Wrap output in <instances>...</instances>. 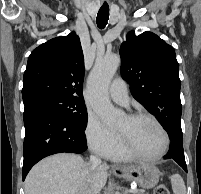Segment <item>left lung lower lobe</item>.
<instances>
[{
    "label": "left lung lower lobe",
    "instance_id": "0a47b994",
    "mask_svg": "<svg viewBox=\"0 0 201 194\" xmlns=\"http://www.w3.org/2000/svg\"><path fill=\"white\" fill-rule=\"evenodd\" d=\"M164 129L167 131L171 140L170 150L164 158L175 160L187 172L182 145V130L180 122L171 121Z\"/></svg>",
    "mask_w": 201,
    "mask_h": 194
}]
</instances>
